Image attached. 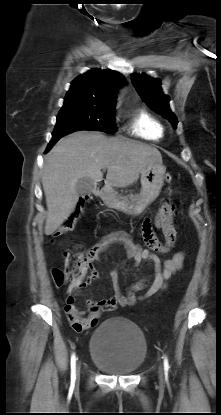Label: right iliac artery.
Listing matches in <instances>:
<instances>
[{"label": "right iliac artery", "mask_w": 221, "mask_h": 415, "mask_svg": "<svg viewBox=\"0 0 221 415\" xmlns=\"http://www.w3.org/2000/svg\"><path fill=\"white\" fill-rule=\"evenodd\" d=\"M71 381H75L76 379V357L75 354L71 356Z\"/></svg>", "instance_id": "1"}]
</instances>
